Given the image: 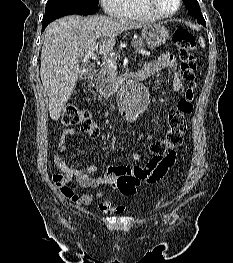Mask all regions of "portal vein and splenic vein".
Masks as SVG:
<instances>
[{"label": "portal vein and splenic vein", "instance_id": "18ae733b", "mask_svg": "<svg viewBox=\"0 0 233 263\" xmlns=\"http://www.w3.org/2000/svg\"><path fill=\"white\" fill-rule=\"evenodd\" d=\"M96 49V45H92L90 50L88 51V53H86L83 57V60L84 61H87L88 59H90L91 57L94 56V51ZM139 52L141 54H144V55H150L149 52H146L144 50H139ZM102 59L113 69H116L117 68V64H116V60H114L112 57H108L106 55L102 56Z\"/></svg>", "mask_w": 233, "mask_h": 263}]
</instances>
